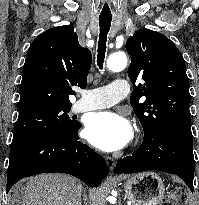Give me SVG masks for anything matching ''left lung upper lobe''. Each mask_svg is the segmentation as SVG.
Here are the masks:
<instances>
[{"instance_id":"left-lung-upper-lobe-1","label":"left lung upper lobe","mask_w":199,"mask_h":205,"mask_svg":"<svg viewBox=\"0 0 199 205\" xmlns=\"http://www.w3.org/2000/svg\"><path fill=\"white\" fill-rule=\"evenodd\" d=\"M128 76L134 84L130 103L144 135H157L173 125L191 126L189 79L185 61L165 35L141 29L130 36ZM143 80L144 83H135ZM145 96V101L139 99Z\"/></svg>"}]
</instances>
